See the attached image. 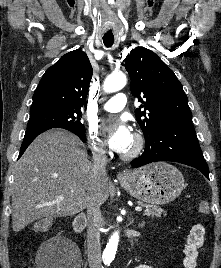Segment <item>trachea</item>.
<instances>
[{
	"instance_id": "trachea-1",
	"label": "trachea",
	"mask_w": 221,
	"mask_h": 268,
	"mask_svg": "<svg viewBox=\"0 0 221 268\" xmlns=\"http://www.w3.org/2000/svg\"><path fill=\"white\" fill-rule=\"evenodd\" d=\"M103 42L106 47H111L114 43V38H103Z\"/></svg>"
}]
</instances>
